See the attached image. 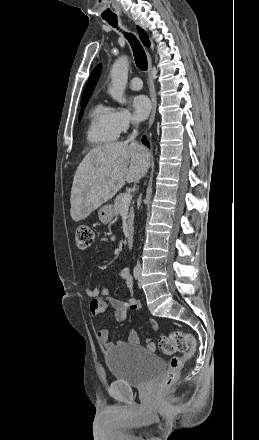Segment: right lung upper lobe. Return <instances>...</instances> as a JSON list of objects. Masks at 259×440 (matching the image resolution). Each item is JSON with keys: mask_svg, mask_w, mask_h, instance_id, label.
Returning <instances> with one entry per match:
<instances>
[{"mask_svg": "<svg viewBox=\"0 0 259 440\" xmlns=\"http://www.w3.org/2000/svg\"><path fill=\"white\" fill-rule=\"evenodd\" d=\"M137 30H138L140 39L142 40L144 45L146 47H149L150 46V41H149V38H148L146 32L142 28H140L139 26H137ZM101 70H102V66H101V64H99L92 71V73H91V75L89 77V80H88V82H87V84H86V86L84 88V91H83L81 99H85V98H90L91 97V95H92V93L94 91V88H95V86H96V84L98 82V79L100 77Z\"/></svg>", "mask_w": 259, "mask_h": 440, "instance_id": "obj_1", "label": "right lung upper lobe"}]
</instances>
